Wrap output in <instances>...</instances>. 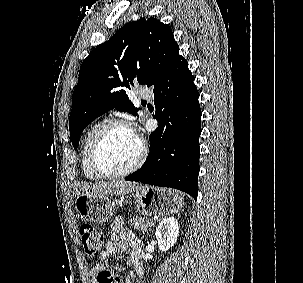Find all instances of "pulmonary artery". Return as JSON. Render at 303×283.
<instances>
[{
    "label": "pulmonary artery",
    "instance_id": "obj_1",
    "mask_svg": "<svg viewBox=\"0 0 303 283\" xmlns=\"http://www.w3.org/2000/svg\"><path fill=\"white\" fill-rule=\"evenodd\" d=\"M138 95L141 97V98H144V99H152L153 97V92L147 88H141L139 91H138Z\"/></svg>",
    "mask_w": 303,
    "mask_h": 283
}]
</instances>
